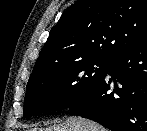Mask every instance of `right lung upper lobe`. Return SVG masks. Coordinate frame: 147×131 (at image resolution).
Segmentation results:
<instances>
[{
    "label": "right lung upper lobe",
    "mask_w": 147,
    "mask_h": 131,
    "mask_svg": "<svg viewBox=\"0 0 147 131\" xmlns=\"http://www.w3.org/2000/svg\"><path fill=\"white\" fill-rule=\"evenodd\" d=\"M146 38L147 0H78L52 28L31 77L81 60H111Z\"/></svg>",
    "instance_id": "cb5924a9"
}]
</instances>
